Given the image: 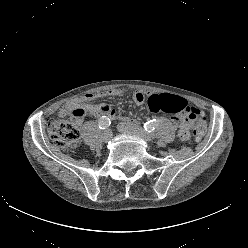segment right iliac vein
<instances>
[{
  "instance_id": "obj_1",
  "label": "right iliac vein",
  "mask_w": 248,
  "mask_h": 248,
  "mask_svg": "<svg viewBox=\"0 0 248 248\" xmlns=\"http://www.w3.org/2000/svg\"><path fill=\"white\" fill-rule=\"evenodd\" d=\"M112 137V133L110 130H106L102 133L101 139L103 142L107 143Z\"/></svg>"
}]
</instances>
